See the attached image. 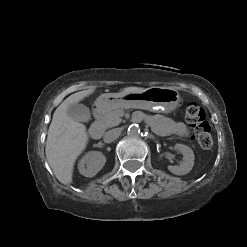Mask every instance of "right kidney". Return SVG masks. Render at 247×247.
Returning a JSON list of instances; mask_svg holds the SVG:
<instances>
[{"label":"right kidney","instance_id":"1","mask_svg":"<svg viewBox=\"0 0 247 247\" xmlns=\"http://www.w3.org/2000/svg\"><path fill=\"white\" fill-rule=\"evenodd\" d=\"M105 163L106 157L102 152L91 151L79 161L78 169L83 176L93 177L103 168Z\"/></svg>","mask_w":247,"mask_h":247}]
</instances>
